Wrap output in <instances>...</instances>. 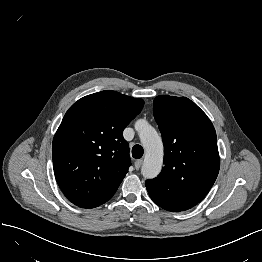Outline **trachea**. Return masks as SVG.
<instances>
[{
  "label": "trachea",
  "mask_w": 262,
  "mask_h": 262,
  "mask_svg": "<svg viewBox=\"0 0 262 262\" xmlns=\"http://www.w3.org/2000/svg\"><path fill=\"white\" fill-rule=\"evenodd\" d=\"M143 153H144V150H143L142 146H140V145H135L132 148V156L135 159H140L143 156Z\"/></svg>",
  "instance_id": "obj_1"
}]
</instances>
